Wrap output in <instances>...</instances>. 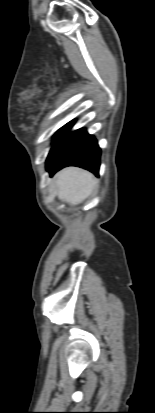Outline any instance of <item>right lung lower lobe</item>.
<instances>
[{"label":"right lung lower lobe","mask_w":155,"mask_h":413,"mask_svg":"<svg viewBox=\"0 0 155 413\" xmlns=\"http://www.w3.org/2000/svg\"><path fill=\"white\" fill-rule=\"evenodd\" d=\"M74 124L71 123L69 129ZM65 133L63 139L48 156L46 169L53 175L66 166H78L99 175L101 150L96 139L85 129Z\"/></svg>","instance_id":"98d812e1"}]
</instances>
